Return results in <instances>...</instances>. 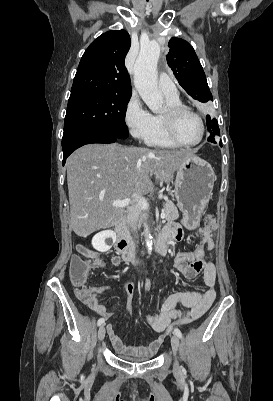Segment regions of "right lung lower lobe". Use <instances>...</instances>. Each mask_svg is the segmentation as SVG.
<instances>
[{
    "instance_id": "1",
    "label": "right lung lower lobe",
    "mask_w": 273,
    "mask_h": 401,
    "mask_svg": "<svg viewBox=\"0 0 273 401\" xmlns=\"http://www.w3.org/2000/svg\"><path fill=\"white\" fill-rule=\"evenodd\" d=\"M115 135H110L92 129H73L64 133L62 138L63 165L66 158L77 148L90 143H114L121 142Z\"/></svg>"
}]
</instances>
